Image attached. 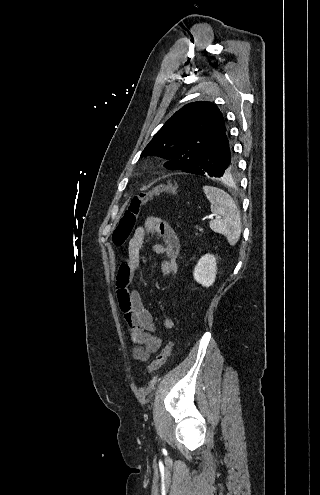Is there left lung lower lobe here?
<instances>
[{"instance_id": "left-lung-lower-lobe-1", "label": "left lung lower lobe", "mask_w": 320, "mask_h": 495, "mask_svg": "<svg viewBox=\"0 0 320 495\" xmlns=\"http://www.w3.org/2000/svg\"><path fill=\"white\" fill-rule=\"evenodd\" d=\"M236 170L237 160L229 143L227 130H225L220 137L200 155L192 166L183 171L201 176L227 178L233 175Z\"/></svg>"}]
</instances>
